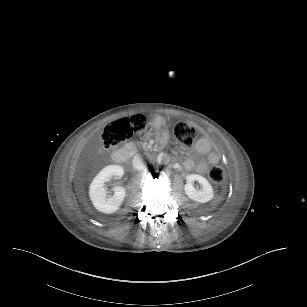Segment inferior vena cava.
<instances>
[{
	"instance_id": "602c4592",
	"label": "inferior vena cava",
	"mask_w": 307,
	"mask_h": 307,
	"mask_svg": "<svg viewBox=\"0 0 307 307\" xmlns=\"http://www.w3.org/2000/svg\"><path fill=\"white\" fill-rule=\"evenodd\" d=\"M132 164L134 168L138 170H143L146 168L144 162L142 161L141 157L139 155L134 156Z\"/></svg>"
}]
</instances>
